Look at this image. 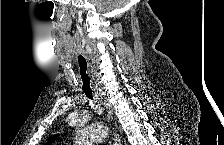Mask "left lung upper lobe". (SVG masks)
<instances>
[{
    "instance_id": "5c2ea615",
    "label": "left lung upper lobe",
    "mask_w": 224,
    "mask_h": 145,
    "mask_svg": "<svg viewBox=\"0 0 224 145\" xmlns=\"http://www.w3.org/2000/svg\"><path fill=\"white\" fill-rule=\"evenodd\" d=\"M58 135H56V137H57ZM54 138V137H53ZM53 138L48 142V143H51L52 141H53Z\"/></svg>"
}]
</instances>
